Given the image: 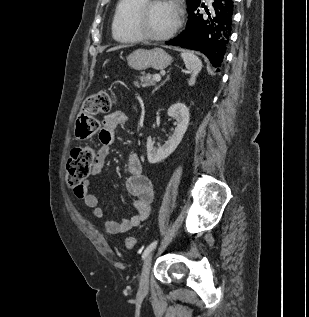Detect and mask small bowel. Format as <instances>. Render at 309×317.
Masks as SVG:
<instances>
[{"label": "small bowel", "mask_w": 309, "mask_h": 317, "mask_svg": "<svg viewBox=\"0 0 309 317\" xmlns=\"http://www.w3.org/2000/svg\"><path fill=\"white\" fill-rule=\"evenodd\" d=\"M126 115L121 111H115L103 119V127L99 133L101 146L99 147L90 175L100 177L106 158L116 141V129L125 124ZM128 177L125 181L127 192L136 198L133 206L135 214L129 219L112 221L104 219L103 209L99 206L96 195L89 190V181L85 180L82 185L74 190L75 196L89 208L97 219H103L105 232L110 236H117L131 230L145 220L151 209L154 198V191L150 179L142 173L141 162L136 153H130L128 157Z\"/></svg>", "instance_id": "obj_1"}]
</instances>
